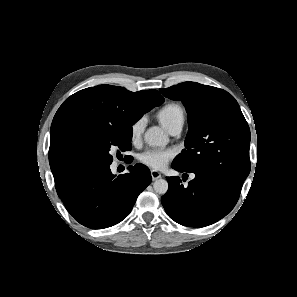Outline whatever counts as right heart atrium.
<instances>
[{"label": "right heart atrium", "mask_w": 297, "mask_h": 297, "mask_svg": "<svg viewBox=\"0 0 297 297\" xmlns=\"http://www.w3.org/2000/svg\"><path fill=\"white\" fill-rule=\"evenodd\" d=\"M146 126V120L144 117H140L130 127V136L133 143H138L143 136Z\"/></svg>", "instance_id": "right-heart-atrium-1"}]
</instances>
